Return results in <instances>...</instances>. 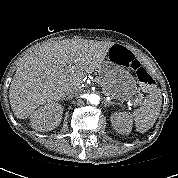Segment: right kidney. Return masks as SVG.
Returning a JSON list of instances; mask_svg holds the SVG:
<instances>
[{"instance_id":"ca27d5eb","label":"right kidney","mask_w":178,"mask_h":178,"mask_svg":"<svg viewBox=\"0 0 178 178\" xmlns=\"http://www.w3.org/2000/svg\"><path fill=\"white\" fill-rule=\"evenodd\" d=\"M63 107L56 103H48L37 109L30 116L31 126L38 131H50L61 122Z\"/></svg>"}]
</instances>
